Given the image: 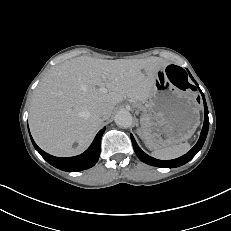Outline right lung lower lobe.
<instances>
[{"label": "right lung lower lobe", "instance_id": "obj_1", "mask_svg": "<svg viewBox=\"0 0 231 231\" xmlns=\"http://www.w3.org/2000/svg\"><path fill=\"white\" fill-rule=\"evenodd\" d=\"M104 131L105 128L98 132L94 138V141L84 153L75 157L68 158H59L49 155L36 145L31 135L30 137L35 149L49 164L63 171L76 172L91 168L96 164L100 155V143Z\"/></svg>", "mask_w": 231, "mask_h": 231}]
</instances>
